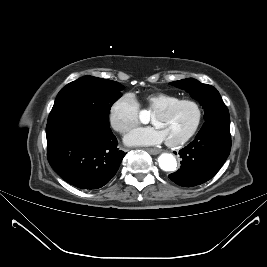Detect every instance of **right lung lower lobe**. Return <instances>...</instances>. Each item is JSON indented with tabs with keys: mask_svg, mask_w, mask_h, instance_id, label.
<instances>
[{
	"mask_svg": "<svg viewBox=\"0 0 267 267\" xmlns=\"http://www.w3.org/2000/svg\"><path fill=\"white\" fill-rule=\"evenodd\" d=\"M48 161L69 184L98 189L116 174L124 157L115 135L95 117L68 113L46 126Z\"/></svg>",
	"mask_w": 267,
	"mask_h": 267,
	"instance_id": "98d812e1",
	"label": "right lung lower lobe"
}]
</instances>
